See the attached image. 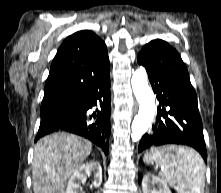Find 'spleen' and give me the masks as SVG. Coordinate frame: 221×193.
I'll use <instances>...</instances> for the list:
<instances>
[{
	"label": "spleen",
	"mask_w": 221,
	"mask_h": 193,
	"mask_svg": "<svg viewBox=\"0 0 221 193\" xmlns=\"http://www.w3.org/2000/svg\"><path fill=\"white\" fill-rule=\"evenodd\" d=\"M143 161L157 163L159 176L178 193H204L205 164L201 156L187 146H153Z\"/></svg>",
	"instance_id": "1"
}]
</instances>
